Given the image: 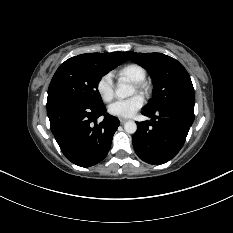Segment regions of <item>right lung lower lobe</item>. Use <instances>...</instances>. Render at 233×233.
<instances>
[{
    "label": "right lung lower lobe",
    "instance_id": "right-lung-lower-lobe-1",
    "mask_svg": "<svg viewBox=\"0 0 233 233\" xmlns=\"http://www.w3.org/2000/svg\"><path fill=\"white\" fill-rule=\"evenodd\" d=\"M106 112L73 100L47 101L51 131L63 154L72 163L90 167L102 161L111 146L119 121ZM104 115L102 122L96 119Z\"/></svg>",
    "mask_w": 233,
    "mask_h": 233
}]
</instances>
